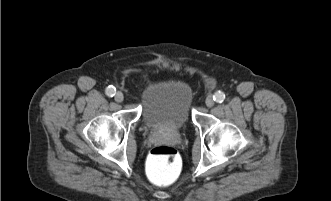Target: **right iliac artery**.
<instances>
[{"mask_svg": "<svg viewBox=\"0 0 331 201\" xmlns=\"http://www.w3.org/2000/svg\"><path fill=\"white\" fill-rule=\"evenodd\" d=\"M115 92H116V88L113 87L112 85H110L106 88V94L110 97L114 96Z\"/></svg>", "mask_w": 331, "mask_h": 201, "instance_id": "1", "label": "right iliac artery"}]
</instances>
